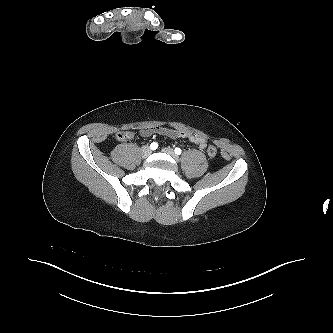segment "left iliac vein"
Segmentation results:
<instances>
[{"label":"left iliac vein","mask_w":333,"mask_h":333,"mask_svg":"<svg viewBox=\"0 0 333 333\" xmlns=\"http://www.w3.org/2000/svg\"><path fill=\"white\" fill-rule=\"evenodd\" d=\"M162 151L170 156H172L175 160H178V156L175 154V152L171 148H163Z\"/></svg>","instance_id":"left-iliac-vein-1"}]
</instances>
